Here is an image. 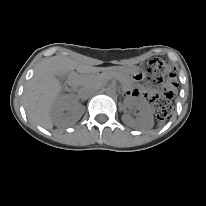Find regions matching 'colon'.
<instances>
[{
    "label": "colon",
    "instance_id": "1",
    "mask_svg": "<svg viewBox=\"0 0 206 206\" xmlns=\"http://www.w3.org/2000/svg\"><path fill=\"white\" fill-rule=\"evenodd\" d=\"M147 72L154 83L164 85L163 93L153 98L154 113L158 119L163 120L172 110L171 97L176 87L175 68L168 62L155 59L148 62Z\"/></svg>",
    "mask_w": 206,
    "mask_h": 206
}]
</instances>
